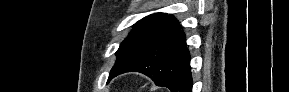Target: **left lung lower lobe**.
Here are the masks:
<instances>
[{
	"instance_id": "0a47b994",
	"label": "left lung lower lobe",
	"mask_w": 289,
	"mask_h": 92,
	"mask_svg": "<svg viewBox=\"0 0 289 92\" xmlns=\"http://www.w3.org/2000/svg\"><path fill=\"white\" fill-rule=\"evenodd\" d=\"M190 69V53L178 22L129 64L110 74L109 80L119 74L136 71L150 77L157 86L169 88L171 92H192Z\"/></svg>"
}]
</instances>
